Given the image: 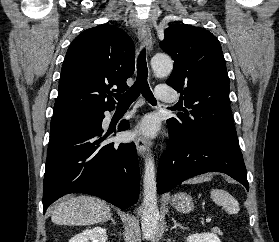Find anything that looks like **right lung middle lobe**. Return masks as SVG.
I'll list each match as a JSON object with an SVG mask.
<instances>
[{"label": "right lung middle lobe", "instance_id": "dd1d6c3e", "mask_svg": "<svg viewBox=\"0 0 279 242\" xmlns=\"http://www.w3.org/2000/svg\"><path fill=\"white\" fill-rule=\"evenodd\" d=\"M96 113L76 112L52 117L50 138L59 136L67 131L86 128L87 122Z\"/></svg>", "mask_w": 279, "mask_h": 242}]
</instances>
